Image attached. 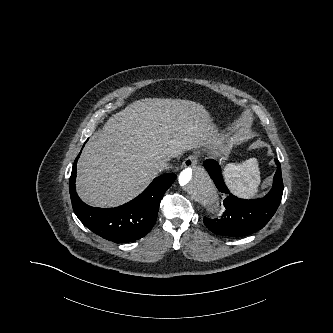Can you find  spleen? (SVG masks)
<instances>
[{
	"mask_svg": "<svg viewBox=\"0 0 333 333\" xmlns=\"http://www.w3.org/2000/svg\"><path fill=\"white\" fill-rule=\"evenodd\" d=\"M223 174L228 188L235 196L249 199L257 194L261 177L256 158L249 159L243 164H228Z\"/></svg>",
	"mask_w": 333,
	"mask_h": 333,
	"instance_id": "3e777b00",
	"label": "spleen"
}]
</instances>
